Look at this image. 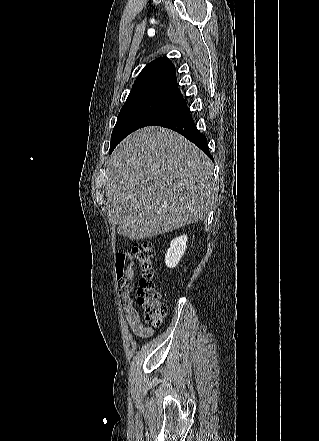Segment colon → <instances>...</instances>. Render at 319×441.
Masks as SVG:
<instances>
[{
  "label": "colon",
  "instance_id": "obj_1",
  "mask_svg": "<svg viewBox=\"0 0 319 441\" xmlns=\"http://www.w3.org/2000/svg\"><path fill=\"white\" fill-rule=\"evenodd\" d=\"M132 254L141 268V278L138 283V303L143 312L145 321L150 326H159L166 314V304L161 293L154 283V247L151 242H135L132 246ZM119 288L124 283V269L116 266Z\"/></svg>",
  "mask_w": 319,
  "mask_h": 441
}]
</instances>
